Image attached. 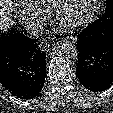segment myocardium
<instances>
[{
  "label": "myocardium",
  "mask_w": 113,
  "mask_h": 113,
  "mask_svg": "<svg viewBox=\"0 0 113 113\" xmlns=\"http://www.w3.org/2000/svg\"><path fill=\"white\" fill-rule=\"evenodd\" d=\"M67 1L68 0H55L52 7V13L55 21L58 24L67 28H75L86 23L89 19L93 0H85L82 7L79 10L78 15L75 18L65 20L63 18V9Z\"/></svg>",
  "instance_id": "1"
}]
</instances>
